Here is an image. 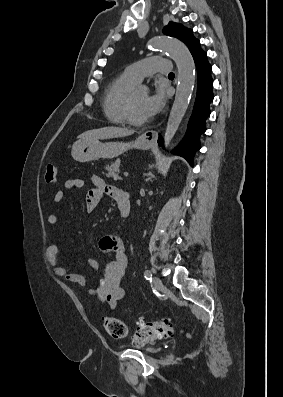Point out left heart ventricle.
<instances>
[{"instance_id":"left-heart-ventricle-1","label":"left heart ventricle","mask_w":283,"mask_h":397,"mask_svg":"<svg viewBox=\"0 0 283 397\" xmlns=\"http://www.w3.org/2000/svg\"><path fill=\"white\" fill-rule=\"evenodd\" d=\"M146 97L147 93L143 91L132 93L133 111L138 119L148 118L144 112L143 107Z\"/></svg>"}]
</instances>
